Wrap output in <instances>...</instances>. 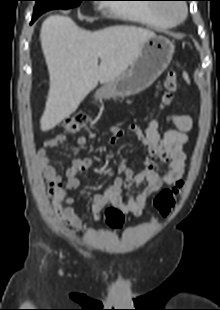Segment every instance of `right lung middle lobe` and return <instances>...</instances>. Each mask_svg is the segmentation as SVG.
I'll return each mask as SVG.
<instances>
[{
  "label": "right lung middle lobe",
  "instance_id": "obj_1",
  "mask_svg": "<svg viewBox=\"0 0 220 310\" xmlns=\"http://www.w3.org/2000/svg\"><path fill=\"white\" fill-rule=\"evenodd\" d=\"M34 16H40L51 9H69L86 0H35Z\"/></svg>",
  "mask_w": 220,
  "mask_h": 310
}]
</instances>
